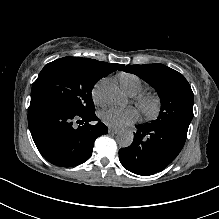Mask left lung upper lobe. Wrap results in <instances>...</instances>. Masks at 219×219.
<instances>
[{"label":"left lung upper lobe","instance_id":"obj_1","mask_svg":"<svg viewBox=\"0 0 219 219\" xmlns=\"http://www.w3.org/2000/svg\"><path fill=\"white\" fill-rule=\"evenodd\" d=\"M123 70L137 75L157 90L161 109L152 125L187 133L193 118V92L182 74L163 64L127 65Z\"/></svg>","mask_w":219,"mask_h":219}]
</instances>
